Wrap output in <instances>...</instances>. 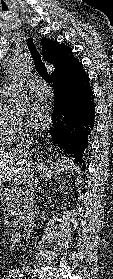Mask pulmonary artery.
<instances>
[{
  "instance_id": "e3ab8cb5",
  "label": "pulmonary artery",
  "mask_w": 113,
  "mask_h": 279,
  "mask_svg": "<svg viewBox=\"0 0 113 279\" xmlns=\"http://www.w3.org/2000/svg\"><path fill=\"white\" fill-rule=\"evenodd\" d=\"M26 86H28L32 91L36 93H45L47 91V87L44 82L38 78L29 79L26 81ZM8 86L5 84L3 89H7Z\"/></svg>"
}]
</instances>
